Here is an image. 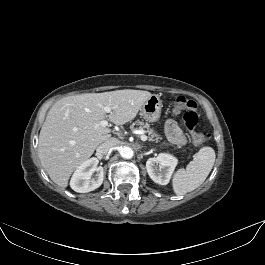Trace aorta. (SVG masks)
<instances>
[{
	"mask_svg": "<svg viewBox=\"0 0 265 265\" xmlns=\"http://www.w3.org/2000/svg\"><path fill=\"white\" fill-rule=\"evenodd\" d=\"M120 155L125 159H130L133 157L134 152L130 147H122L120 149Z\"/></svg>",
	"mask_w": 265,
	"mask_h": 265,
	"instance_id": "1",
	"label": "aorta"
}]
</instances>
